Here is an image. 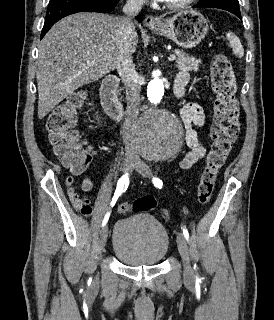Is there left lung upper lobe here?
<instances>
[{"label":"left lung upper lobe","mask_w":274,"mask_h":320,"mask_svg":"<svg viewBox=\"0 0 274 320\" xmlns=\"http://www.w3.org/2000/svg\"><path fill=\"white\" fill-rule=\"evenodd\" d=\"M199 4L231 11H240L238 0H202Z\"/></svg>","instance_id":"1"}]
</instances>
